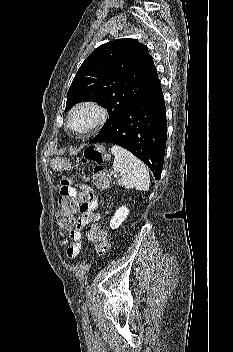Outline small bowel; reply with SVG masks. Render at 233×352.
<instances>
[{"mask_svg":"<svg viewBox=\"0 0 233 352\" xmlns=\"http://www.w3.org/2000/svg\"><path fill=\"white\" fill-rule=\"evenodd\" d=\"M61 193L64 196L68 197H77L76 190L71 187L69 184H63L61 187ZM87 193L90 195V200L85 206L79 207V218L77 221L76 228L70 231V239L73 243L68 246L67 248V255L70 258H73L78 255L81 250V240H82V233L81 230L87 226L88 224L97 221L100 216L97 212L98 203L96 194L88 189Z\"/></svg>","mask_w":233,"mask_h":352,"instance_id":"1","label":"small bowel"}]
</instances>
